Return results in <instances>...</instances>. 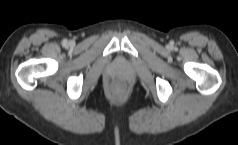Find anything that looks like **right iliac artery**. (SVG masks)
<instances>
[{"instance_id": "1", "label": "right iliac artery", "mask_w": 238, "mask_h": 145, "mask_svg": "<svg viewBox=\"0 0 238 145\" xmlns=\"http://www.w3.org/2000/svg\"><path fill=\"white\" fill-rule=\"evenodd\" d=\"M63 44L66 45V44H67V40H64V41H63Z\"/></svg>"}]
</instances>
